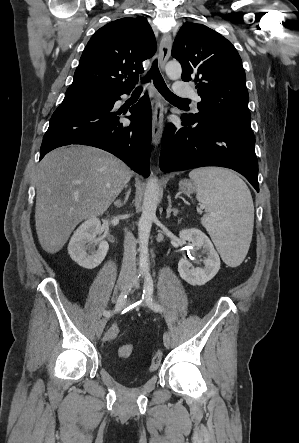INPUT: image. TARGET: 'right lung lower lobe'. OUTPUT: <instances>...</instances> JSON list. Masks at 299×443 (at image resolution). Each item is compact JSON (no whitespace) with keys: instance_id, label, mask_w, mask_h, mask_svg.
I'll return each instance as SVG.
<instances>
[{"instance_id":"98d812e1","label":"right lung lower lobe","mask_w":299,"mask_h":443,"mask_svg":"<svg viewBox=\"0 0 299 443\" xmlns=\"http://www.w3.org/2000/svg\"><path fill=\"white\" fill-rule=\"evenodd\" d=\"M131 89L111 92L109 102L64 99L53 113L40 149V160L51 150L70 144L94 146L108 151L135 172L148 177L151 153L152 113L147 94L130 108L131 124L119 121L113 106Z\"/></svg>"}]
</instances>
